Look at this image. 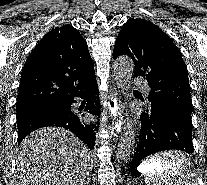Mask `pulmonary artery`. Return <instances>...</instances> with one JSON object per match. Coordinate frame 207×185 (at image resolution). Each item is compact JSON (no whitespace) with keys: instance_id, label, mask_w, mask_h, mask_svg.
<instances>
[{"instance_id":"1","label":"pulmonary artery","mask_w":207,"mask_h":185,"mask_svg":"<svg viewBox=\"0 0 207 185\" xmlns=\"http://www.w3.org/2000/svg\"><path fill=\"white\" fill-rule=\"evenodd\" d=\"M132 86H143V81H132ZM145 91H148V87L143 88Z\"/></svg>"}]
</instances>
